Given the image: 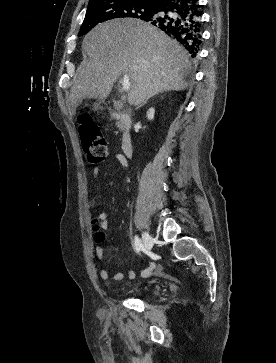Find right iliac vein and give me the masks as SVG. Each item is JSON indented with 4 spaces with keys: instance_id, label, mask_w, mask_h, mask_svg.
Here are the masks:
<instances>
[{
    "instance_id": "right-iliac-vein-1",
    "label": "right iliac vein",
    "mask_w": 276,
    "mask_h": 363,
    "mask_svg": "<svg viewBox=\"0 0 276 363\" xmlns=\"http://www.w3.org/2000/svg\"><path fill=\"white\" fill-rule=\"evenodd\" d=\"M142 239L146 250L150 251L154 245V239L147 232H143Z\"/></svg>"
}]
</instances>
